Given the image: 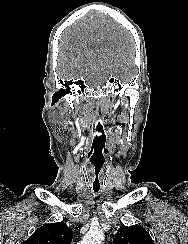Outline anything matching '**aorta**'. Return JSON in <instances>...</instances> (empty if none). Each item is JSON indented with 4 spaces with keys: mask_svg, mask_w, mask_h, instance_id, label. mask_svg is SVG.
<instances>
[{
    "mask_svg": "<svg viewBox=\"0 0 188 244\" xmlns=\"http://www.w3.org/2000/svg\"><path fill=\"white\" fill-rule=\"evenodd\" d=\"M104 232L98 227L91 228L79 244H102Z\"/></svg>",
    "mask_w": 188,
    "mask_h": 244,
    "instance_id": "obj_1",
    "label": "aorta"
}]
</instances>
